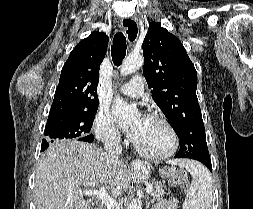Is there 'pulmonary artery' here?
I'll return each mask as SVG.
<instances>
[{"label": "pulmonary artery", "instance_id": "1", "mask_svg": "<svg viewBox=\"0 0 253 209\" xmlns=\"http://www.w3.org/2000/svg\"><path fill=\"white\" fill-rule=\"evenodd\" d=\"M120 92L126 96L137 98L144 93V81L141 76H134L121 88Z\"/></svg>", "mask_w": 253, "mask_h": 209}]
</instances>
